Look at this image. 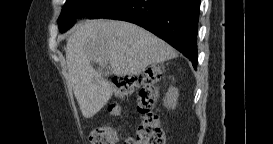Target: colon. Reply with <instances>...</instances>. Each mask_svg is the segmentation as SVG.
Listing matches in <instances>:
<instances>
[{
  "label": "colon",
  "instance_id": "obj_1",
  "mask_svg": "<svg viewBox=\"0 0 273 144\" xmlns=\"http://www.w3.org/2000/svg\"><path fill=\"white\" fill-rule=\"evenodd\" d=\"M160 75L161 72L157 67H151L136 76H118L113 79L115 93L119 96L129 95L136 87L140 88L138 110L143 115V120L137 130V141L133 143L164 144L166 142V135L159 116L154 112L158 96L156 82ZM110 111L113 114H118L120 107L117 104H112ZM90 141L92 144H116L118 132L109 125L98 126L93 129Z\"/></svg>",
  "mask_w": 273,
  "mask_h": 144
}]
</instances>
